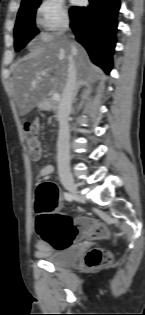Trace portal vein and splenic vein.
<instances>
[{
    "label": "portal vein and splenic vein",
    "mask_w": 145,
    "mask_h": 315,
    "mask_svg": "<svg viewBox=\"0 0 145 315\" xmlns=\"http://www.w3.org/2000/svg\"><path fill=\"white\" fill-rule=\"evenodd\" d=\"M48 73L47 72H42L41 75L39 76V79H41V77L46 76ZM53 99L54 100H59L60 99V95L59 93H54L53 94Z\"/></svg>",
    "instance_id": "1"
}]
</instances>
